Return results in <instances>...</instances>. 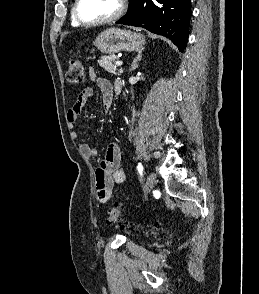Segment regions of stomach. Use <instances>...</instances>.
<instances>
[{
  "label": "stomach",
  "mask_w": 259,
  "mask_h": 294,
  "mask_svg": "<svg viewBox=\"0 0 259 294\" xmlns=\"http://www.w3.org/2000/svg\"><path fill=\"white\" fill-rule=\"evenodd\" d=\"M145 44L143 35L118 28H109L101 32L94 45L99 51L113 55L119 52L139 51Z\"/></svg>",
  "instance_id": "stomach-1"
}]
</instances>
